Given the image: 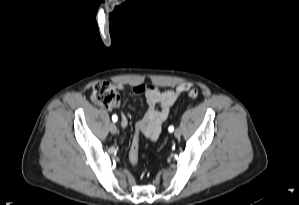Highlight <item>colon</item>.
I'll list each match as a JSON object with an SVG mask.
<instances>
[{
    "label": "colon",
    "instance_id": "colon-1",
    "mask_svg": "<svg viewBox=\"0 0 299 205\" xmlns=\"http://www.w3.org/2000/svg\"><path fill=\"white\" fill-rule=\"evenodd\" d=\"M189 97L195 99L199 93L196 89L188 90ZM91 99L94 103L108 109L117 107L120 103V96L116 88L107 81L96 82L92 87ZM139 159V138H134L130 149V161L137 165Z\"/></svg>",
    "mask_w": 299,
    "mask_h": 205
}]
</instances>
